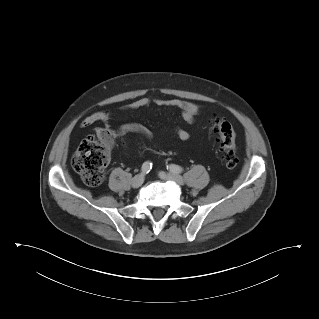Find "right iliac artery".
I'll use <instances>...</instances> for the list:
<instances>
[{
    "label": "right iliac artery",
    "instance_id": "1",
    "mask_svg": "<svg viewBox=\"0 0 319 319\" xmlns=\"http://www.w3.org/2000/svg\"><path fill=\"white\" fill-rule=\"evenodd\" d=\"M151 169H152V163L149 161H146L143 163V165L141 167V173L147 174L150 172Z\"/></svg>",
    "mask_w": 319,
    "mask_h": 319
}]
</instances>
